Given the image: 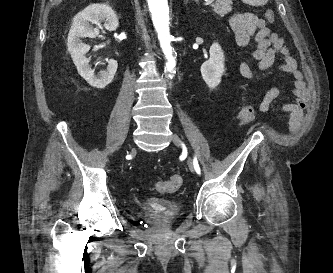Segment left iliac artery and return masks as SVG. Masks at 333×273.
I'll return each instance as SVG.
<instances>
[{"label":"left iliac artery","mask_w":333,"mask_h":273,"mask_svg":"<svg viewBox=\"0 0 333 273\" xmlns=\"http://www.w3.org/2000/svg\"><path fill=\"white\" fill-rule=\"evenodd\" d=\"M193 165H194V169L197 172V174H201V170H200V167H199L198 160H197L196 156L193 159Z\"/></svg>","instance_id":"1"}]
</instances>
